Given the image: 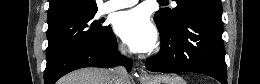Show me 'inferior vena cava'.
I'll list each match as a JSON object with an SVG mask.
<instances>
[{"label":"inferior vena cava","mask_w":260,"mask_h":84,"mask_svg":"<svg viewBox=\"0 0 260 84\" xmlns=\"http://www.w3.org/2000/svg\"><path fill=\"white\" fill-rule=\"evenodd\" d=\"M125 54V51L122 50ZM113 83L114 84H129V75L124 66L115 67L113 70Z\"/></svg>","instance_id":"obj_1"}]
</instances>
